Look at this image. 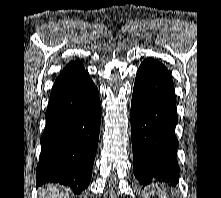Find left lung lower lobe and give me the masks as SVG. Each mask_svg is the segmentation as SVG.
Returning <instances> with one entry per match:
<instances>
[{
  "mask_svg": "<svg viewBox=\"0 0 221 198\" xmlns=\"http://www.w3.org/2000/svg\"><path fill=\"white\" fill-rule=\"evenodd\" d=\"M174 85L167 68L145 59L137 72L131 102L133 171L141 184L150 179L176 185L179 167Z\"/></svg>",
  "mask_w": 221,
  "mask_h": 198,
  "instance_id": "1",
  "label": "left lung lower lobe"
}]
</instances>
